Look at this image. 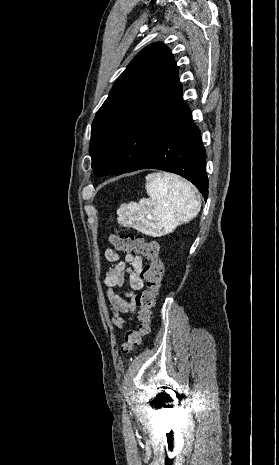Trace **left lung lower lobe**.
Here are the masks:
<instances>
[{"label": "left lung lower lobe", "instance_id": "left-lung-lower-lobe-1", "mask_svg": "<svg viewBox=\"0 0 279 465\" xmlns=\"http://www.w3.org/2000/svg\"><path fill=\"white\" fill-rule=\"evenodd\" d=\"M141 169H160L178 174L192 182L207 199L206 152L200 130L192 122L189 107L174 127L131 171Z\"/></svg>", "mask_w": 279, "mask_h": 465}]
</instances>
